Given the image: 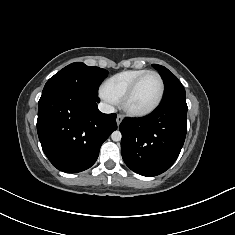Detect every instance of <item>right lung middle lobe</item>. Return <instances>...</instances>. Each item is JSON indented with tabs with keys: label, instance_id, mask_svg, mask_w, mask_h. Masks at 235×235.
<instances>
[{
	"label": "right lung middle lobe",
	"instance_id": "dd1d6c3e",
	"mask_svg": "<svg viewBox=\"0 0 235 235\" xmlns=\"http://www.w3.org/2000/svg\"><path fill=\"white\" fill-rule=\"evenodd\" d=\"M107 74L108 71L105 69L75 62L52 76L45 84L42 93L70 88L97 96L98 86Z\"/></svg>",
	"mask_w": 235,
	"mask_h": 235
}]
</instances>
